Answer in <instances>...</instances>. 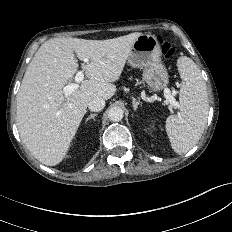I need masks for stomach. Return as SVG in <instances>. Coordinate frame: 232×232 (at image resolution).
<instances>
[{
	"label": "stomach",
	"instance_id": "0dacf381",
	"mask_svg": "<svg viewBox=\"0 0 232 232\" xmlns=\"http://www.w3.org/2000/svg\"><path fill=\"white\" fill-rule=\"evenodd\" d=\"M127 60L132 67L143 70L142 77L150 91L159 92L168 85V71L161 61L160 44L155 36H139Z\"/></svg>",
	"mask_w": 232,
	"mask_h": 232
}]
</instances>
